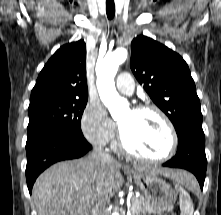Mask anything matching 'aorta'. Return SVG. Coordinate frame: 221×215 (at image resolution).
Masks as SVG:
<instances>
[{
    "instance_id": "1",
    "label": "aorta",
    "mask_w": 221,
    "mask_h": 215,
    "mask_svg": "<svg viewBox=\"0 0 221 215\" xmlns=\"http://www.w3.org/2000/svg\"><path fill=\"white\" fill-rule=\"evenodd\" d=\"M127 57L128 51L125 48H117L102 60L97 61L96 64V84L99 96L112 115L120 106H128L127 101L119 96L114 83L118 68L126 61ZM112 215H119V213L114 212Z\"/></svg>"
}]
</instances>
